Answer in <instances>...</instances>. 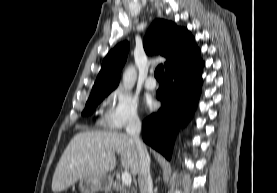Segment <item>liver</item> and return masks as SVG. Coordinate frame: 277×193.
Listing matches in <instances>:
<instances>
[{
    "label": "liver",
    "instance_id": "6515ba94",
    "mask_svg": "<svg viewBox=\"0 0 277 193\" xmlns=\"http://www.w3.org/2000/svg\"><path fill=\"white\" fill-rule=\"evenodd\" d=\"M115 154L120 155L123 168L130 170L133 176L138 174L139 155L128 134L111 131L76 134L56 166L52 191H64L84 177L106 175L116 166Z\"/></svg>",
    "mask_w": 277,
    "mask_h": 193
}]
</instances>
